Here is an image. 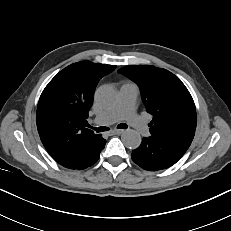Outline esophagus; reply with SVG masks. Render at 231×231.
<instances>
[{
  "mask_svg": "<svg viewBox=\"0 0 231 231\" xmlns=\"http://www.w3.org/2000/svg\"><path fill=\"white\" fill-rule=\"evenodd\" d=\"M111 134H122L124 133V130L122 129H115L110 132Z\"/></svg>",
  "mask_w": 231,
  "mask_h": 231,
  "instance_id": "34e87169",
  "label": "esophagus"
}]
</instances>
